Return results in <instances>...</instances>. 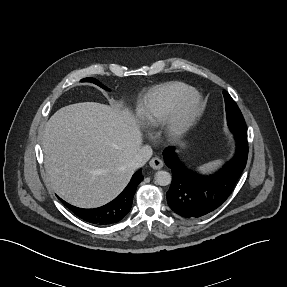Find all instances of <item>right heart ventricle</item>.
<instances>
[{"instance_id":"obj_1","label":"right heart ventricle","mask_w":287,"mask_h":287,"mask_svg":"<svg viewBox=\"0 0 287 287\" xmlns=\"http://www.w3.org/2000/svg\"><path fill=\"white\" fill-rule=\"evenodd\" d=\"M190 87L180 82H169L153 88L144 99L140 111V123L145 127L158 126L167 116L174 103Z\"/></svg>"}]
</instances>
